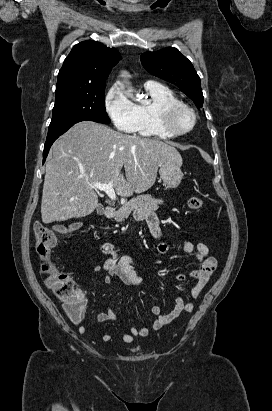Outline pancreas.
I'll return each mask as SVG.
<instances>
[{"label": "pancreas", "mask_w": 272, "mask_h": 411, "mask_svg": "<svg viewBox=\"0 0 272 411\" xmlns=\"http://www.w3.org/2000/svg\"><path fill=\"white\" fill-rule=\"evenodd\" d=\"M163 203L164 201L162 199H155L149 194L139 195L126 202L116 211L115 221L123 222L129 217L132 211H137L139 209L157 210L159 205Z\"/></svg>", "instance_id": "1"}]
</instances>
